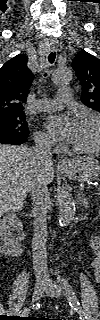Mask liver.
I'll return each mask as SVG.
<instances>
[{"instance_id": "1", "label": "liver", "mask_w": 100, "mask_h": 320, "mask_svg": "<svg viewBox=\"0 0 100 320\" xmlns=\"http://www.w3.org/2000/svg\"><path fill=\"white\" fill-rule=\"evenodd\" d=\"M42 172L47 183L54 179V165L38 161L24 145H0V209L1 213L22 209L31 183Z\"/></svg>"}]
</instances>
